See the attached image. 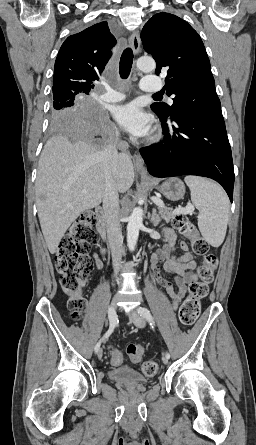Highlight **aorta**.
Segmentation results:
<instances>
[{"label":"aorta","instance_id":"1","mask_svg":"<svg viewBox=\"0 0 256 445\" xmlns=\"http://www.w3.org/2000/svg\"><path fill=\"white\" fill-rule=\"evenodd\" d=\"M136 66L143 72H152L156 67V63L154 59L150 57H141L137 60ZM142 221L143 209L137 207L130 215L127 225V245L130 251L135 250Z\"/></svg>","mask_w":256,"mask_h":445}]
</instances>
